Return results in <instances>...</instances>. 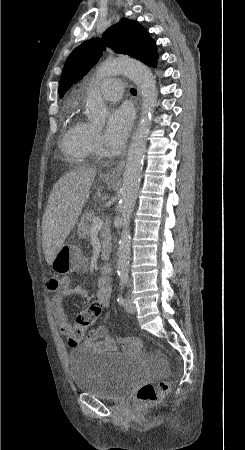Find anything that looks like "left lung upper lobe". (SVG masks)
Segmentation results:
<instances>
[{
  "label": "left lung upper lobe",
  "instance_id": "left-lung-upper-lobe-1",
  "mask_svg": "<svg viewBox=\"0 0 245 450\" xmlns=\"http://www.w3.org/2000/svg\"><path fill=\"white\" fill-rule=\"evenodd\" d=\"M105 45L112 47L117 53L132 56L151 66L158 57L155 42L147 30L136 21L123 18L104 33L102 41L90 40L72 51L60 79L61 98L73 83L79 81L97 63Z\"/></svg>",
  "mask_w": 245,
  "mask_h": 450
}]
</instances>
